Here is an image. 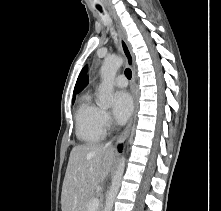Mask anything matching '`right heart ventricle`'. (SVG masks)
I'll use <instances>...</instances> for the list:
<instances>
[{
  "instance_id": "right-heart-ventricle-1",
  "label": "right heart ventricle",
  "mask_w": 221,
  "mask_h": 211,
  "mask_svg": "<svg viewBox=\"0 0 221 211\" xmlns=\"http://www.w3.org/2000/svg\"><path fill=\"white\" fill-rule=\"evenodd\" d=\"M100 108L89 92L83 94L75 112L76 136L84 143L99 142L104 132L99 124Z\"/></svg>"
}]
</instances>
